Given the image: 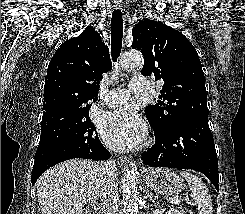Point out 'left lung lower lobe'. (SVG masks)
Returning <instances> with one entry per match:
<instances>
[{
	"instance_id": "obj_1",
	"label": "left lung lower lobe",
	"mask_w": 245,
	"mask_h": 214,
	"mask_svg": "<svg viewBox=\"0 0 245 214\" xmlns=\"http://www.w3.org/2000/svg\"><path fill=\"white\" fill-rule=\"evenodd\" d=\"M154 134L155 144L143 152V164L199 171L219 191L217 154L208 119L194 117L168 133Z\"/></svg>"
}]
</instances>
